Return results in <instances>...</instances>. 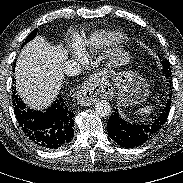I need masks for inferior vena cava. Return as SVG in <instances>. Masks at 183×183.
<instances>
[{
    "instance_id": "inferior-vena-cava-1",
    "label": "inferior vena cava",
    "mask_w": 183,
    "mask_h": 183,
    "mask_svg": "<svg viewBox=\"0 0 183 183\" xmlns=\"http://www.w3.org/2000/svg\"><path fill=\"white\" fill-rule=\"evenodd\" d=\"M82 69L80 64L75 60H68L63 65V72L65 75L69 77H75L78 76L81 73Z\"/></svg>"
}]
</instances>
